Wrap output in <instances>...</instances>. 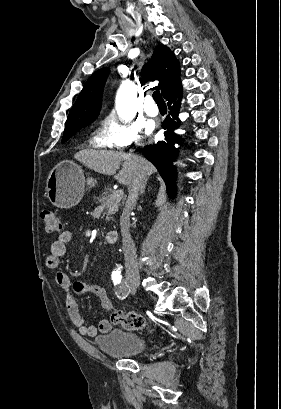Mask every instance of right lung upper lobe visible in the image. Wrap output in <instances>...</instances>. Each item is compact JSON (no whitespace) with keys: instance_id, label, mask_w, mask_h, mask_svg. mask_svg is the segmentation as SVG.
Masks as SVG:
<instances>
[{"instance_id":"right-lung-upper-lobe-1","label":"right lung upper lobe","mask_w":281,"mask_h":409,"mask_svg":"<svg viewBox=\"0 0 281 409\" xmlns=\"http://www.w3.org/2000/svg\"><path fill=\"white\" fill-rule=\"evenodd\" d=\"M108 68L93 73L85 83L66 121V127H78L92 123L99 114L101 97ZM145 80H158L156 87L163 97L168 96L180 83L179 62L173 52L164 45L156 47L150 61L142 69Z\"/></svg>"}]
</instances>
